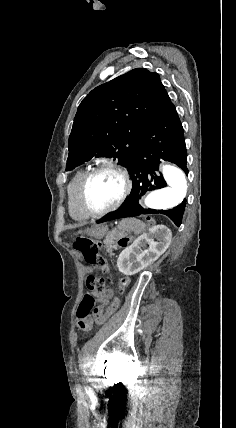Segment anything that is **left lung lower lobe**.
Listing matches in <instances>:
<instances>
[{
	"label": "left lung lower lobe",
	"mask_w": 236,
	"mask_h": 428,
	"mask_svg": "<svg viewBox=\"0 0 236 428\" xmlns=\"http://www.w3.org/2000/svg\"><path fill=\"white\" fill-rule=\"evenodd\" d=\"M159 158L176 164L186 175L188 174L184 131L173 104L145 127L138 140L137 149L127 166L133 181L127 201L116 211L97 220V223L160 213L167 215L176 226H180L186 199L170 210L146 209L138 203V200L147 191L166 186L162 174L156 172L160 163Z\"/></svg>",
	"instance_id": "0a47b994"
}]
</instances>
